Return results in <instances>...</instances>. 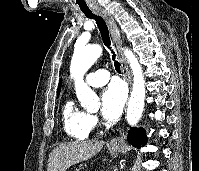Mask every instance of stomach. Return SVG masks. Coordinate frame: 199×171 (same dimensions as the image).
<instances>
[{"label":"stomach","mask_w":199,"mask_h":171,"mask_svg":"<svg viewBox=\"0 0 199 171\" xmlns=\"http://www.w3.org/2000/svg\"><path fill=\"white\" fill-rule=\"evenodd\" d=\"M122 148L121 147H109L111 152H119Z\"/></svg>","instance_id":"1"}]
</instances>
